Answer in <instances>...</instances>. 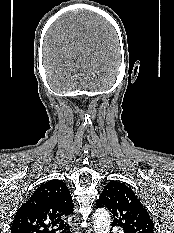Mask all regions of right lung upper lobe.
<instances>
[{
	"mask_svg": "<svg viewBox=\"0 0 174 233\" xmlns=\"http://www.w3.org/2000/svg\"><path fill=\"white\" fill-rule=\"evenodd\" d=\"M73 203L66 184L60 180L43 183L18 209L11 226V233H55L49 231L56 225L68 229L63 216L73 212Z\"/></svg>",
	"mask_w": 174,
	"mask_h": 233,
	"instance_id": "cb5924a9",
	"label": "right lung upper lobe"
}]
</instances>
